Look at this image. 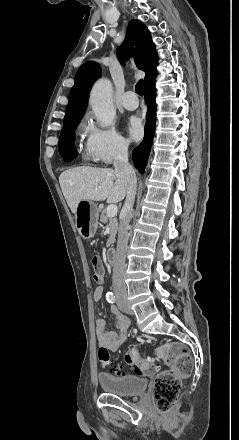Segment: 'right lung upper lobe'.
Here are the masks:
<instances>
[{"instance_id": "cb5924a9", "label": "right lung upper lobe", "mask_w": 239, "mask_h": 440, "mask_svg": "<svg viewBox=\"0 0 239 440\" xmlns=\"http://www.w3.org/2000/svg\"><path fill=\"white\" fill-rule=\"evenodd\" d=\"M117 55L121 62L127 61L129 56L133 55L137 68L146 73L145 80L156 73L158 56L155 44L149 30L139 20H131L128 23L125 41L117 49ZM100 76L101 68L97 63L87 61L82 64L75 76L63 124L84 115L88 93Z\"/></svg>"}]
</instances>
